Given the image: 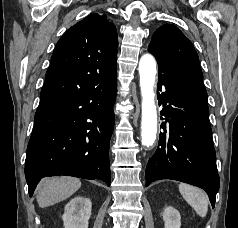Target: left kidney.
I'll return each instance as SVG.
<instances>
[{
    "label": "left kidney",
    "instance_id": "obj_1",
    "mask_svg": "<svg viewBox=\"0 0 238 228\" xmlns=\"http://www.w3.org/2000/svg\"><path fill=\"white\" fill-rule=\"evenodd\" d=\"M164 228H180L181 216L179 211L175 208L168 206L163 212Z\"/></svg>",
    "mask_w": 238,
    "mask_h": 228
}]
</instances>
